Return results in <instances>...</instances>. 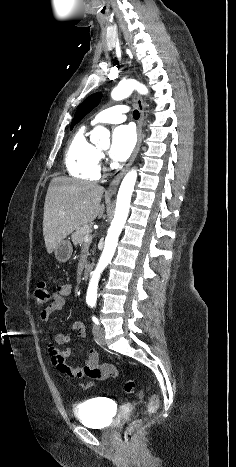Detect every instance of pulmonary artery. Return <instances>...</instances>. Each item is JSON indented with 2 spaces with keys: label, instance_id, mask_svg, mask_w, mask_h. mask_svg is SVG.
<instances>
[{
  "label": "pulmonary artery",
  "instance_id": "e3ab8cb5",
  "mask_svg": "<svg viewBox=\"0 0 236 467\" xmlns=\"http://www.w3.org/2000/svg\"><path fill=\"white\" fill-rule=\"evenodd\" d=\"M128 109L123 105H115L99 112L91 121V125L100 123H121L125 121Z\"/></svg>",
  "mask_w": 236,
  "mask_h": 467
}]
</instances>
